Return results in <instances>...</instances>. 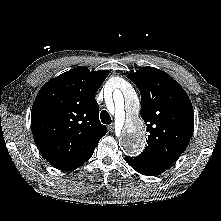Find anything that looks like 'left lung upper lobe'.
<instances>
[{"mask_svg": "<svg viewBox=\"0 0 221 221\" xmlns=\"http://www.w3.org/2000/svg\"><path fill=\"white\" fill-rule=\"evenodd\" d=\"M141 93V117L148 145L141 155L172 165L193 133L194 112L187 93L171 76L154 67L127 75Z\"/></svg>", "mask_w": 221, "mask_h": 221, "instance_id": "1", "label": "left lung upper lobe"}]
</instances>
